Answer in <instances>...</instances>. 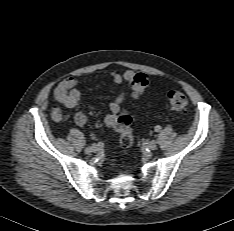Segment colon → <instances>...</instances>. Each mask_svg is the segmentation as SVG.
I'll list each match as a JSON object with an SVG mask.
<instances>
[{"label":"colon","mask_w":234,"mask_h":231,"mask_svg":"<svg viewBox=\"0 0 234 231\" xmlns=\"http://www.w3.org/2000/svg\"><path fill=\"white\" fill-rule=\"evenodd\" d=\"M148 85V77L145 74L138 73L131 80L132 92L134 98L142 95ZM170 106L180 112H184L188 106V100L184 93L178 90H171L167 94ZM132 118L130 114L123 112L118 116L115 124L116 130L120 134V143L124 147H130L133 143Z\"/></svg>","instance_id":"1"}]
</instances>
